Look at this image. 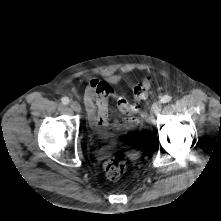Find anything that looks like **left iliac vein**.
<instances>
[{"label":"left iliac vein","mask_w":221,"mask_h":221,"mask_svg":"<svg viewBox=\"0 0 221 221\" xmlns=\"http://www.w3.org/2000/svg\"><path fill=\"white\" fill-rule=\"evenodd\" d=\"M162 105L159 102H155L151 107V114L156 116L161 111Z\"/></svg>","instance_id":"left-iliac-vein-1"}]
</instances>
